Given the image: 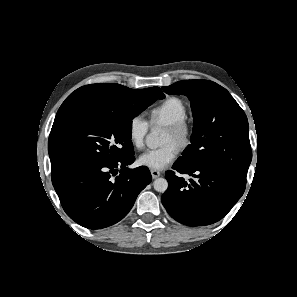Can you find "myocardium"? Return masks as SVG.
I'll return each mask as SVG.
<instances>
[{
  "label": "myocardium",
  "mask_w": 297,
  "mask_h": 297,
  "mask_svg": "<svg viewBox=\"0 0 297 297\" xmlns=\"http://www.w3.org/2000/svg\"><path fill=\"white\" fill-rule=\"evenodd\" d=\"M167 130L173 135L174 143L181 148L186 147L191 140V127L186 120L168 125Z\"/></svg>",
  "instance_id": "obj_1"
}]
</instances>
